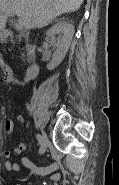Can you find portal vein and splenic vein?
Masks as SVG:
<instances>
[{
  "label": "portal vein and splenic vein",
  "instance_id": "obj_1",
  "mask_svg": "<svg viewBox=\"0 0 119 185\" xmlns=\"http://www.w3.org/2000/svg\"><path fill=\"white\" fill-rule=\"evenodd\" d=\"M7 15L13 16V14H11V13H8ZM23 27H24V25H23V23L21 21H19V22L16 23V29L17 30H22Z\"/></svg>",
  "mask_w": 119,
  "mask_h": 185
}]
</instances>
